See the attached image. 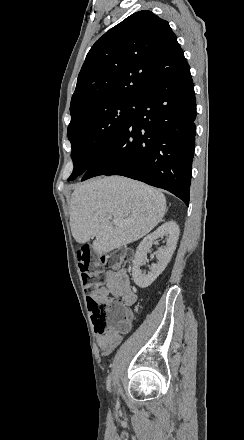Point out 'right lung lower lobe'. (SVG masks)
I'll return each mask as SVG.
<instances>
[{
  "mask_svg": "<svg viewBox=\"0 0 244 440\" xmlns=\"http://www.w3.org/2000/svg\"><path fill=\"white\" fill-rule=\"evenodd\" d=\"M194 85L187 61L160 74L133 117L83 174L122 175L163 188L189 204L195 146Z\"/></svg>",
  "mask_w": 244,
  "mask_h": 440,
  "instance_id": "right-lung-lower-lobe-1",
  "label": "right lung lower lobe"
}]
</instances>
